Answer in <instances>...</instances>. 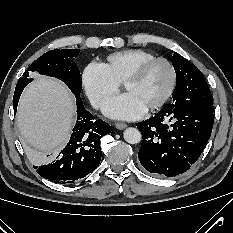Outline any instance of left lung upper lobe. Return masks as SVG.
Returning a JSON list of instances; mask_svg holds the SVG:
<instances>
[{
  "instance_id": "5c2ea615",
  "label": "left lung upper lobe",
  "mask_w": 233,
  "mask_h": 233,
  "mask_svg": "<svg viewBox=\"0 0 233 233\" xmlns=\"http://www.w3.org/2000/svg\"><path fill=\"white\" fill-rule=\"evenodd\" d=\"M171 61L176 72L172 104L213 113V97L201 71L176 52Z\"/></svg>"
}]
</instances>
